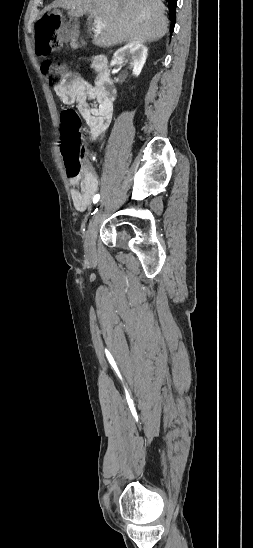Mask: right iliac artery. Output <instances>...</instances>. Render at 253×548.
Returning a JSON list of instances; mask_svg holds the SVG:
<instances>
[{
  "mask_svg": "<svg viewBox=\"0 0 253 548\" xmlns=\"http://www.w3.org/2000/svg\"><path fill=\"white\" fill-rule=\"evenodd\" d=\"M100 199V195L99 194H96L93 198V203L96 204ZM97 211V209L95 210V212Z\"/></svg>",
  "mask_w": 253,
  "mask_h": 548,
  "instance_id": "right-iliac-artery-1",
  "label": "right iliac artery"
}]
</instances>
